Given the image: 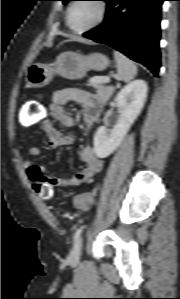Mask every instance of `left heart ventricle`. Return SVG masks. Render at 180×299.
I'll return each instance as SVG.
<instances>
[{"mask_svg": "<svg viewBox=\"0 0 180 299\" xmlns=\"http://www.w3.org/2000/svg\"><path fill=\"white\" fill-rule=\"evenodd\" d=\"M97 15L98 8L95 2H78L71 10L70 24L75 29H82L95 21Z\"/></svg>", "mask_w": 180, "mask_h": 299, "instance_id": "b2bd125f", "label": "left heart ventricle"}]
</instances>
